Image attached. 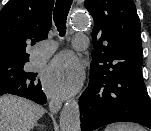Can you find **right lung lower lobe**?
<instances>
[{
  "mask_svg": "<svg viewBox=\"0 0 151 131\" xmlns=\"http://www.w3.org/2000/svg\"><path fill=\"white\" fill-rule=\"evenodd\" d=\"M6 93L25 97L41 105L47 102L40 82H35V76H30L12 85H4L3 81H0V95Z\"/></svg>",
  "mask_w": 151,
  "mask_h": 131,
  "instance_id": "1",
  "label": "right lung lower lobe"
}]
</instances>
